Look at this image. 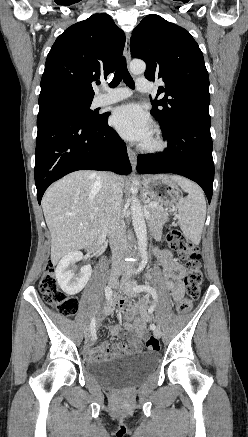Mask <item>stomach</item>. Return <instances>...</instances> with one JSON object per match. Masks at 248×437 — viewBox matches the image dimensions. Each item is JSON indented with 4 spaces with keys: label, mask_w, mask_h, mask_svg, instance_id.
Wrapping results in <instances>:
<instances>
[{
    "label": "stomach",
    "mask_w": 248,
    "mask_h": 437,
    "mask_svg": "<svg viewBox=\"0 0 248 437\" xmlns=\"http://www.w3.org/2000/svg\"><path fill=\"white\" fill-rule=\"evenodd\" d=\"M143 186L152 200L167 207L170 213L174 214L177 211L180 195L171 177L167 175L145 176Z\"/></svg>",
    "instance_id": "1"
}]
</instances>
